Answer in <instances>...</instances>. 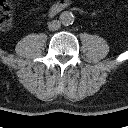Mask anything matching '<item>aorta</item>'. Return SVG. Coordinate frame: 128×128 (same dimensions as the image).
<instances>
[{"label": "aorta", "mask_w": 128, "mask_h": 128, "mask_svg": "<svg viewBox=\"0 0 128 128\" xmlns=\"http://www.w3.org/2000/svg\"><path fill=\"white\" fill-rule=\"evenodd\" d=\"M59 19L62 25L69 26L74 22V15L70 11H64L60 14Z\"/></svg>", "instance_id": "aorta-1"}]
</instances>
